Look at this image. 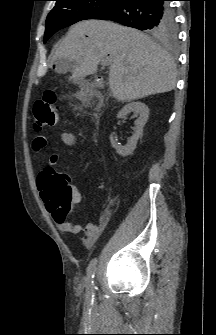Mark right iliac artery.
<instances>
[{"mask_svg":"<svg viewBox=\"0 0 216 335\" xmlns=\"http://www.w3.org/2000/svg\"><path fill=\"white\" fill-rule=\"evenodd\" d=\"M97 264V259L94 258L91 260L87 267V277H86V286H87V300L89 303H92L94 300V275L95 267Z\"/></svg>","mask_w":216,"mask_h":335,"instance_id":"82829eb1","label":"right iliac artery"}]
</instances>
